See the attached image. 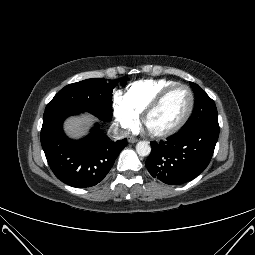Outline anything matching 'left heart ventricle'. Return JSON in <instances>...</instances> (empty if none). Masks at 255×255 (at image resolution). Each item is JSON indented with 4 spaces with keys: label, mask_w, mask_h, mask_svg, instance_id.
<instances>
[{
    "label": "left heart ventricle",
    "mask_w": 255,
    "mask_h": 255,
    "mask_svg": "<svg viewBox=\"0 0 255 255\" xmlns=\"http://www.w3.org/2000/svg\"><path fill=\"white\" fill-rule=\"evenodd\" d=\"M189 103L190 96L186 89L179 88L173 91L150 115L147 121L148 128L153 131H163L173 127L185 115Z\"/></svg>",
    "instance_id": "obj_1"
}]
</instances>
